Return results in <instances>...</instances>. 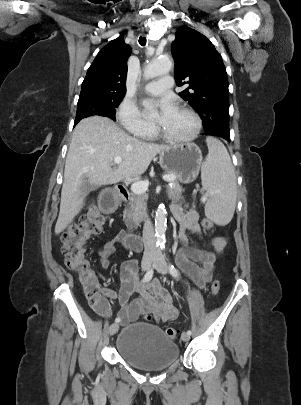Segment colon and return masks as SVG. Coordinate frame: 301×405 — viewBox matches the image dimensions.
Instances as JSON below:
<instances>
[{
    "mask_svg": "<svg viewBox=\"0 0 301 405\" xmlns=\"http://www.w3.org/2000/svg\"><path fill=\"white\" fill-rule=\"evenodd\" d=\"M106 222V215L100 213L96 206L89 205L87 212L81 216L79 222L69 227L62 234V253L65 257V264L70 270L78 274L91 306L102 315L108 314L109 308L101 294L97 277L91 269L90 260L86 253V244L102 233ZM201 225L205 230H210L214 226L209 219H203ZM219 290L220 282L214 280L211 285L212 294L217 295ZM146 318L150 320L151 315L147 314ZM166 333L171 339H177L179 335V331L174 328H168Z\"/></svg>",
    "mask_w": 301,
    "mask_h": 405,
    "instance_id": "obj_1",
    "label": "colon"
}]
</instances>
